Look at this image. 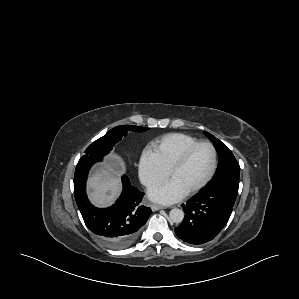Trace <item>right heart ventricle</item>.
<instances>
[{
    "label": "right heart ventricle",
    "instance_id": "right-heart-ventricle-1",
    "mask_svg": "<svg viewBox=\"0 0 299 299\" xmlns=\"http://www.w3.org/2000/svg\"><path fill=\"white\" fill-rule=\"evenodd\" d=\"M198 139L183 133H170L151 143L154 154L161 165L169 172L180 155Z\"/></svg>",
    "mask_w": 299,
    "mask_h": 299
}]
</instances>
